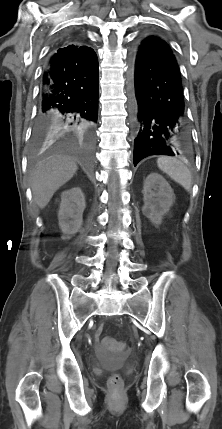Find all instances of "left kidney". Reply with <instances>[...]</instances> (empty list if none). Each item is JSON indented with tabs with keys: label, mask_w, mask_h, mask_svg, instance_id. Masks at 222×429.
I'll list each match as a JSON object with an SVG mask.
<instances>
[{
	"label": "left kidney",
	"mask_w": 222,
	"mask_h": 429,
	"mask_svg": "<svg viewBox=\"0 0 222 429\" xmlns=\"http://www.w3.org/2000/svg\"><path fill=\"white\" fill-rule=\"evenodd\" d=\"M152 189L157 190L154 192ZM143 214L159 225L175 201L174 192L168 182L157 173H150L143 186Z\"/></svg>",
	"instance_id": "obj_1"
}]
</instances>
